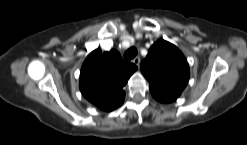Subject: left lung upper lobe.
Here are the masks:
<instances>
[{
    "mask_svg": "<svg viewBox=\"0 0 247 145\" xmlns=\"http://www.w3.org/2000/svg\"><path fill=\"white\" fill-rule=\"evenodd\" d=\"M141 72L149 82L151 92L180 96L189 80V66L181 51L160 39L148 51L141 63Z\"/></svg>",
    "mask_w": 247,
    "mask_h": 145,
    "instance_id": "5c2ea615",
    "label": "left lung upper lobe"
}]
</instances>
